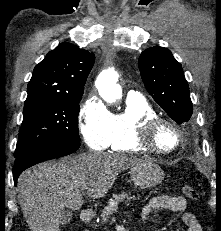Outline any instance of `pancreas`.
I'll return each mask as SVG.
<instances>
[{
  "label": "pancreas",
  "instance_id": "1",
  "mask_svg": "<svg viewBox=\"0 0 221 231\" xmlns=\"http://www.w3.org/2000/svg\"><path fill=\"white\" fill-rule=\"evenodd\" d=\"M131 200H136V197L131 195L130 192L123 191L119 194H114L101 213L102 223H105L110 215L118 209L119 202H130Z\"/></svg>",
  "mask_w": 221,
  "mask_h": 231
}]
</instances>
